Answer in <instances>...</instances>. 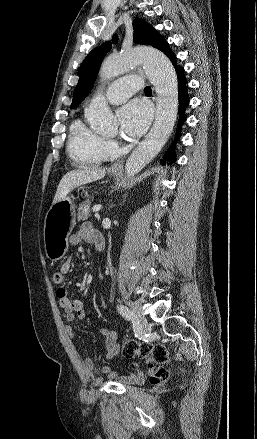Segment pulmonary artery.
<instances>
[{
    "mask_svg": "<svg viewBox=\"0 0 257 439\" xmlns=\"http://www.w3.org/2000/svg\"><path fill=\"white\" fill-rule=\"evenodd\" d=\"M142 87V80L138 75L131 74L113 82L106 90L105 98L109 103L124 102L133 93Z\"/></svg>",
    "mask_w": 257,
    "mask_h": 439,
    "instance_id": "e3ab8cb5",
    "label": "pulmonary artery"
}]
</instances>
